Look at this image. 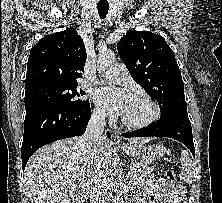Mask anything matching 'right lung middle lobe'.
<instances>
[{
  "label": "right lung middle lobe",
  "instance_id": "1",
  "mask_svg": "<svg viewBox=\"0 0 222 203\" xmlns=\"http://www.w3.org/2000/svg\"><path fill=\"white\" fill-rule=\"evenodd\" d=\"M77 85L52 86L31 90L25 93V109L39 104H58L67 107L86 105L89 102L79 99L85 94L76 90Z\"/></svg>",
  "mask_w": 222,
  "mask_h": 203
}]
</instances>
